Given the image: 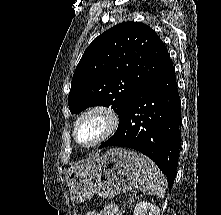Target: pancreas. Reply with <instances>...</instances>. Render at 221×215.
<instances>
[{
    "mask_svg": "<svg viewBox=\"0 0 221 215\" xmlns=\"http://www.w3.org/2000/svg\"><path fill=\"white\" fill-rule=\"evenodd\" d=\"M137 199H138L137 197H135V200H134V199H130V200H128V201L126 202V204H127L128 206H131V204H132L133 202H135Z\"/></svg>",
    "mask_w": 221,
    "mask_h": 215,
    "instance_id": "cf45deb5",
    "label": "pancreas"
}]
</instances>
